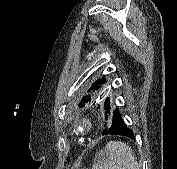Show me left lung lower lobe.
I'll list each match as a JSON object with an SVG mask.
<instances>
[{
	"label": "left lung lower lobe",
	"instance_id": "obj_1",
	"mask_svg": "<svg viewBox=\"0 0 177 169\" xmlns=\"http://www.w3.org/2000/svg\"><path fill=\"white\" fill-rule=\"evenodd\" d=\"M102 135H122L135 140L133 131L125 124L118 108L113 111L111 123L107 129L102 132Z\"/></svg>",
	"mask_w": 177,
	"mask_h": 169
}]
</instances>
